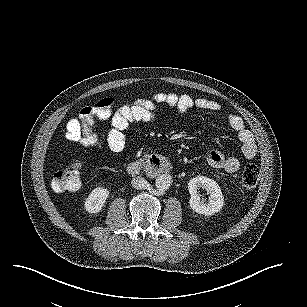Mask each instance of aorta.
Returning a JSON list of instances; mask_svg holds the SVG:
<instances>
[{"instance_id": "aorta-1", "label": "aorta", "mask_w": 307, "mask_h": 307, "mask_svg": "<svg viewBox=\"0 0 307 307\" xmlns=\"http://www.w3.org/2000/svg\"><path fill=\"white\" fill-rule=\"evenodd\" d=\"M172 184H173V177L170 174L166 173L157 176L155 181L156 187L163 191L169 189L172 186Z\"/></svg>"}]
</instances>
